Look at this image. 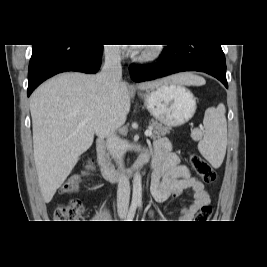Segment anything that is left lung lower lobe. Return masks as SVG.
<instances>
[{
	"mask_svg": "<svg viewBox=\"0 0 267 267\" xmlns=\"http://www.w3.org/2000/svg\"><path fill=\"white\" fill-rule=\"evenodd\" d=\"M161 60L150 65L130 66L133 81L143 82L183 71L208 73L228 88L225 56L220 45L171 44L161 52Z\"/></svg>",
	"mask_w": 267,
	"mask_h": 267,
	"instance_id": "left-lung-lower-lobe-1",
	"label": "left lung lower lobe"
}]
</instances>
